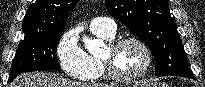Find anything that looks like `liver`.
<instances>
[{
  "mask_svg": "<svg viewBox=\"0 0 205 87\" xmlns=\"http://www.w3.org/2000/svg\"><path fill=\"white\" fill-rule=\"evenodd\" d=\"M10 87H117L108 84H86L58 77L44 72L19 75Z\"/></svg>",
  "mask_w": 205,
  "mask_h": 87,
  "instance_id": "6515ba94",
  "label": "liver"
}]
</instances>
